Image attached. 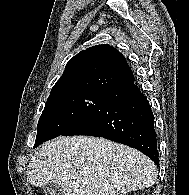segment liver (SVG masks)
I'll return each instance as SVG.
<instances>
[{
    "label": "liver",
    "mask_w": 189,
    "mask_h": 195,
    "mask_svg": "<svg viewBox=\"0 0 189 195\" xmlns=\"http://www.w3.org/2000/svg\"><path fill=\"white\" fill-rule=\"evenodd\" d=\"M157 168L129 146L98 137H59L42 145L27 167L31 185L57 183L62 195H125L154 184Z\"/></svg>",
    "instance_id": "6515ba94"
}]
</instances>
